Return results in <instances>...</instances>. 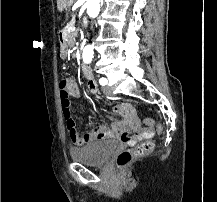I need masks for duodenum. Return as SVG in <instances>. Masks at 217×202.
<instances>
[{
	"label": "duodenum",
	"instance_id": "1",
	"mask_svg": "<svg viewBox=\"0 0 217 202\" xmlns=\"http://www.w3.org/2000/svg\"><path fill=\"white\" fill-rule=\"evenodd\" d=\"M65 35L63 33H60V44L64 47L65 45ZM83 74L85 76V78L88 80V81H93L94 80V74H93V71L91 70V68H89L88 66H84L83 67Z\"/></svg>",
	"mask_w": 217,
	"mask_h": 202
}]
</instances>
